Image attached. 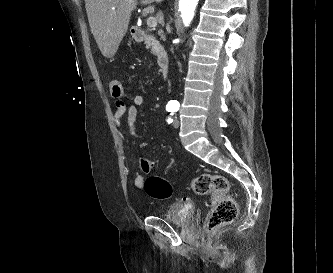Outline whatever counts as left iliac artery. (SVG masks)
I'll list each match as a JSON object with an SVG mask.
<instances>
[{"mask_svg": "<svg viewBox=\"0 0 333 273\" xmlns=\"http://www.w3.org/2000/svg\"><path fill=\"white\" fill-rule=\"evenodd\" d=\"M172 113L170 114V115H173V111H171ZM168 123L170 124V123H172L173 122V119L170 117V118H168Z\"/></svg>", "mask_w": 333, "mask_h": 273, "instance_id": "44dca946", "label": "left iliac artery"}]
</instances>
